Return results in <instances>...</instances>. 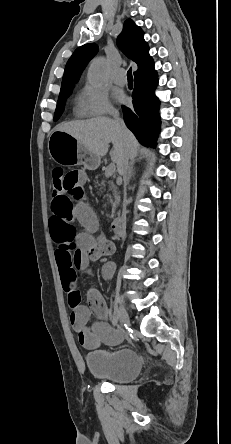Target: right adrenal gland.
<instances>
[{
  "label": "right adrenal gland",
  "instance_id": "1",
  "mask_svg": "<svg viewBox=\"0 0 231 444\" xmlns=\"http://www.w3.org/2000/svg\"><path fill=\"white\" fill-rule=\"evenodd\" d=\"M133 165H134L133 161L129 163V166H128V176H127V179H126L127 182H129L131 176L133 175Z\"/></svg>",
  "mask_w": 231,
  "mask_h": 444
}]
</instances>
